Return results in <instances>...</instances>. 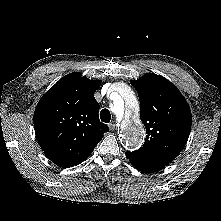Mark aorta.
Wrapping results in <instances>:
<instances>
[{
	"instance_id": "1",
	"label": "aorta",
	"mask_w": 221,
	"mask_h": 221,
	"mask_svg": "<svg viewBox=\"0 0 221 221\" xmlns=\"http://www.w3.org/2000/svg\"><path fill=\"white\" fill-rule=\"evenodd\" d=\"M123 97L125 105L123 99L118 96L114 102V112L121 121L120 129L125 146L129 149H136L142 145L145 136L143 126L137 116V100L134 92L127 86L123 87Z\"/></svg>"
}]
</instances>
